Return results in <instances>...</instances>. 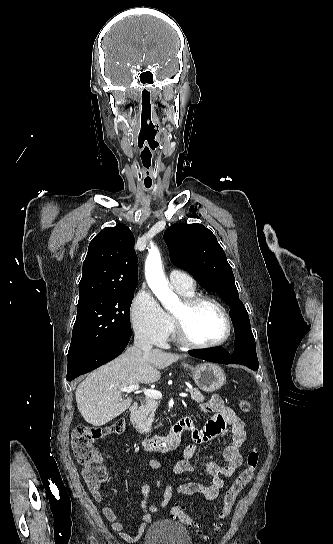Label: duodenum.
I'll use <instances>...</instances> for the list:
<instances>
[{
	"instance_id": "obj_1",
	"label": "duodenum",
	"mask_w": 333,
	"mask_h": 544,
	"mask_svg": "<svg viewBox=\"0 0 333 544\" xmlns=\"http://www.w3.org/2000/svg\"><path fill=\"white\" fill-rule=\"evenodd\" d=\"M138 409V403L134 402L130 408L131 416H134ZM186 431L185 419L174 424L166 436H149L142 440V447L147 452H169L175 449L181 442Z\"/></svg>"
}]
</instances>
